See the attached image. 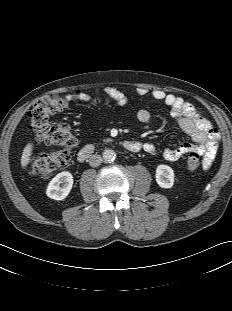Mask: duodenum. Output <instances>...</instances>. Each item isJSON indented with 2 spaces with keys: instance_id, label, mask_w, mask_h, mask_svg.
<instances>
[{
  "instance_id": "1",
  "label": "duodenum",
  "mask_w": 232,
  "mask_h": 311,
  "mask_svg": "<svg viewBox=\"0 0 232 311\" xmlns=\"http://www.w3.org/2000/svg\"><path fill=\"white\" fill-rule=\"evenodd\" d=\"M123 147L128 150L129 152L136 153L139 152L142 148V145L137 141H125L123 142ZM95 152V147L92 144H87L83 146L79 153L78 159L80 161H85L86 159L90 158Z\"/></svg>"
}]
</instances>
